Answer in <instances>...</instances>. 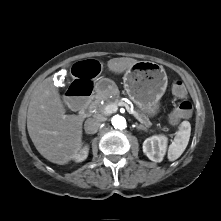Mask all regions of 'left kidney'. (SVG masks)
<instances>
[{
    "label": "left kidney",
    "instance_id": "obj_1",
    "mask_svg": "<svg viewBox=\"0 0 221 221\" xmlns=\"http://www.w3.org/2000/svg\"><path fill=\"white\" fill-rule=\"evenodd\" d=\"M167 138L163 135L152 136L143 142V152L154 162H161L166 153Z\"/></svg>",
    "mask_w": 221,
    "mask_h": 221
}]
</instances>
